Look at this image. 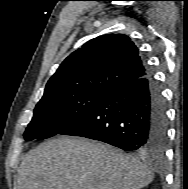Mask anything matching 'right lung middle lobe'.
Masks as SVG:
<instances>
[{
	"label": "right lung middle lobe",
	"mask_w": 188,
	"mask_h": 189,
	"mask_svg": "<svg viewBox=\"0 0 188 189\" xmlns=\"http://www.w3.org/2000/svg\"><path fill=\"white\" fill-rule=\"evenodd\" d=\"M111 91L94 88L42 97L24 133L25 140L46 139L60 134L79 122Z\"/></svg>",
	"instance_id": "right-lung-middle-lobe-1"
}]
</instances>
